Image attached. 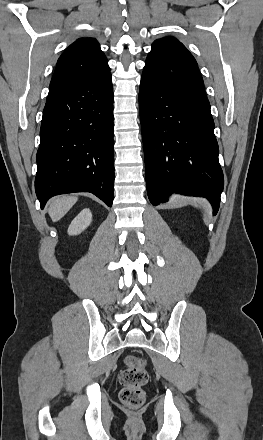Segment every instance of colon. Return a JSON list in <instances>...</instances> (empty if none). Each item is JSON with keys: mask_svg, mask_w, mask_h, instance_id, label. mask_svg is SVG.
<instances>
[{"mask_svg": "<svg viewBox=\"0 0 263 440\" xmlns=\"http://www.w3.org/2000/svg\"><path fill=\"white\" fill-rule=\"evenodd\" d=\"M148 378L145 361L134 355L127 356L119 374V381L122 385L119 398L125 406L130 408L143 406L145 403L143 386L148 382Z\"/></svg>", "mask_w": 263, "mask_h": 440, "instance_id": "colon-1", "label": "colon"}]
</instances>
